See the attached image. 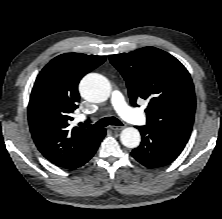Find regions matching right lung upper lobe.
I'll list each match as a JSON object with an SVG mask.
<instances>
[{"mask_svg": "<svg viewBox=\"0 0 222 219\" xmlns=\"http://www.w3.org/2000/svg\"><path fill=\"white\" fill-rule=\"evenodd\" d=\"M105 59L65 53L52 59L35 81L28 105L30 131L38 150L57 166L71 167L99 132L68 126L78 108L79 81Z\"/></svg>", "mask_w": 222, "mask_h": 219, "instance_id": "1", "label": "right lung upper lobe"}]
</instances>
